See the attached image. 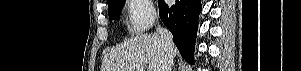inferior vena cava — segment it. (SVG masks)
I'll return each instance as SVG.
<instances>
[{"label":"inferior vena cava","instance_id":"602c4592","mask_svg":"<svg viewBox=\"0 0 301 71\" xmlns=\"http://www.w3.org/2000/svg\"><path fill=\"white\" fill-rule=\"evenodd\" d=\"M156 31L157 34L162 38L163 46H164L161 71H171L173 65V45H174L172 34L167 28L162 27L159 23L157 24Z\"/></svg>","mask_w":301,"mask_h":71}]
</instances>
